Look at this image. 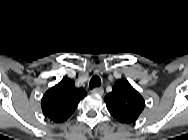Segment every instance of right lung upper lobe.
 Here are the masks:
<instances>
[{"label":"right lung upper lobe","instance_id":"cb5924a9","mask_svg":"<svg viewBox=\"0 0 188 140\" xmlns=\"http://www.w3.org/2000/svg\"><path fill=\"white\" fill-rule=\"evenodd\" d=\"M86 95L83 88H76L71 79L64 77L44 94L41 100L42 111L50 120L61 123L73 114Z\"/></svg>","mask_w":188,"mask_h":140}]
</instances>
